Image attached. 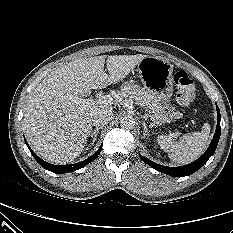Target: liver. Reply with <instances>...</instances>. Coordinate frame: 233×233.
<instances>
[{
  "instance_id": "liver-1",
  "label": "liver",
  "mask_w": 233,
  "mask_h": 233,
  "mask_svg": "<svg viewBox=\"0 0 233 233\" xmlns=\"http://www.w3.org/2000/svg\"><path fill=\"white\" fill-rule=\"evenodd\" d=\"M146 55L95 56L52 71L28 97L23 126L32 149L44 160L62 164L78 157L92 130V119L110 105L82 104L91 89L123 80ZM106 62L107 74L104 71Z\"/></svg>"
}]
</instances>
